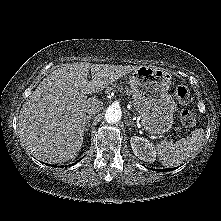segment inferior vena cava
<instances>
[{
    "label": "inferior vena cava",
    "mask_w": 221,
    "mask_h": 221,
    "mask_svg": "<svg viewBox=\"0 0 221 221\" xmlns=\"http://www.w3.org/2000/svg\"><path fill=\"white\" fill-rule=\"evenodd\" d=\"M101 110V106H92L86 110V113L91 116L99 113Z\"/></svg>",
    "instance_id": "inferior-vena-cava-1"
}]
</instances>
